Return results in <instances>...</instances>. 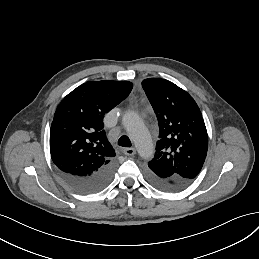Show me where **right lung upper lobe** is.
<instances>
[{
    "mask_svg": "<svg viewBox=\"0 0 259 259\" xmlns=\"http://www.w3.org/2000/svg\"><path fill=\"white\" fill-rule=\"evenodd\" d=\"M132 87L129 81H88L61 101L50 129L51 158L59 169L85 176L114 159L103 118Z\"/></svg>",
    "mask_w": 259,
    "mask_h": 259,
    "instance_id": "1",
    "label": "right lung upper lobe"
}]
</instances>
